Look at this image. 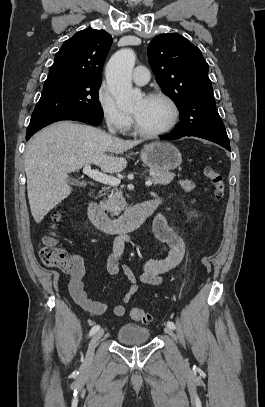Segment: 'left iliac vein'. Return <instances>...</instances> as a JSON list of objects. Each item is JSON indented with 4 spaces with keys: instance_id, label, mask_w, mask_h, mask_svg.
<instances>
[{
    "instance_id": "4c4485c4",
    "label": "left iliac vein",
    "mask_w": 265,
    "mask_h": 407,
    "mask_svg": "<svg viewBox=\"0 0 265 407\" xmlns=\"http://www.w3.org/2000/svg\"><path fill=\"white\" fill-rule=\"evenodd\" d=\"M164 331H165V333H167L168 335H170L172 338L176 339V336H175L173 330H172L170 327H168V326L165 327V328H164Z\"/></svg>"
}]
</instances>
